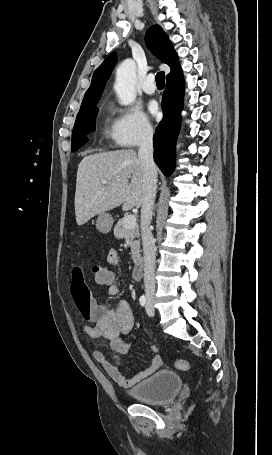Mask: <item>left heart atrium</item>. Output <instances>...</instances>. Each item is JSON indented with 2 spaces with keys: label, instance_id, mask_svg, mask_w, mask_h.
I'll list each match as a JSON object with an SVG mask.
<instances>
[{
  "label": "left heart atrium",
  "instance_id": "obj_1",
  "mask_svg": "<svg viewBox=\"0 0 272 455\" xmlns=\"http://www.w3.org/2000/svg\"><path fill=\"white\" fill-rule=\"evenodd\" d=\"M148 108H149L150 113H151L153 116H158V114H159V109H158V105H157L156 102H151V103L149 104V107H148Z\"/></svg>",
  "mask_w": 272,
  "mask_h": 455
}]
</instances>
